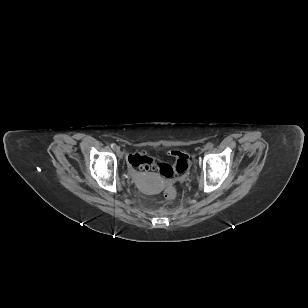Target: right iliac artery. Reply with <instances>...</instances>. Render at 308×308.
<instances>
[{
	"mask_svg": "<svg viewBox=\"0 0 308 308\" xmlns=\"http://www.w3.org/2000/svg\"><path fill=\"white\" fill-rule=\"evenodd\" d=\"M117 147V145L116 144H111V148H113V149H115Z\"/></svg>",
	"mask_w": 308,
	"mask_h": 308,
	"instance_id": "82829eb1",
	"label": "right iliac artery"
}]
</instances>
